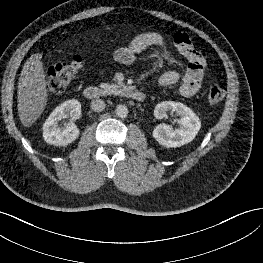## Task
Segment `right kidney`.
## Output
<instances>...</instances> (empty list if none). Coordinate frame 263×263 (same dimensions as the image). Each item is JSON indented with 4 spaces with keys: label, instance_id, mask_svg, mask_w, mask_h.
I'll return each instance as SVG.
<instances>
[{
    "label": "right kidney",
    "instance_id": "right-kidney-1",
    "mask_svg": "<svg viewBox=\"0 0 263 263\" xmlns=\"http://www.w3.org/2000/svg\"><path fill=\"white\" fill-rule=\"evenodd\" d=\"M81 116V104L78 100H67L57 106L43 124V138L51 145L66 146L75 141L79 136V128L73 122ZM71 118L62 126L59 121Z\"/></svg>",
    "mask_w": 263,
    "mask_h": 263
}]
</instances>
